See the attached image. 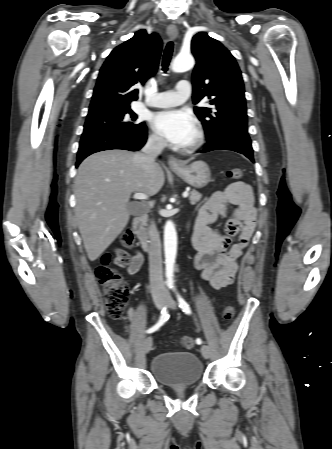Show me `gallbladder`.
I'll list each match as a JSON object with an SVG mask.
<instances>
[{"mask_svg": "<svg viewBox=\"0 0 332 449\" xmlns=\"http://www.w3.org/2000/svg\"><path fill=\"white\" fill-rule=\"evenodd\" d=\"M128 209H129V211H130V213L132 214V215H139L140 214V210H139V207H138V205H136V204H129L128 205Z\"/></svg>", "mask_w": 332, "mask_h": 449, "instance_id": "1", "label": "gallbladder"}]
</instances>
